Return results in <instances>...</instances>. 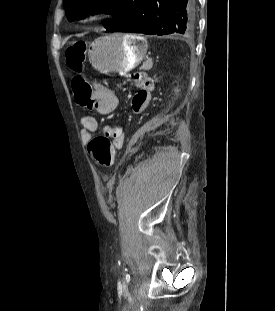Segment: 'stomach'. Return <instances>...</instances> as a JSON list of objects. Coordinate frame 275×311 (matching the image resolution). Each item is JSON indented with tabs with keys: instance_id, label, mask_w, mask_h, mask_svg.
Returning a JSON list of instances; mask_svg holds the SVG:
<instances>
[{
	"instance_id": "stomach-1",
	"label": "stomach",
	"mask_w": 275,
	"mask_h": 311,
	"mask_svg": "<svg viewBox=\"0 0 275 311\" xmlns=\"http://www.w3.org/2000/svg\"><path fill=\"white\" fill-rule=\"evenodd\" d=\"M147 48V41L139 35L115 33L95 39L88 57L98 72L124 76L141 63Z\"/></svg>"
}]
</instances>
